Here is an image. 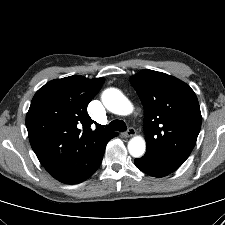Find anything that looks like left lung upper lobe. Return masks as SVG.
Listing matches in <instances>:
<instances>
[{"mask_svg":"<svg viewBox=\"0 0 225 225\" xmlns=\"http://www.w3.org/2000/svg\"><path fill=\"white\" fill-rule=\"evenodd\" d=\"M130 82L144 107L147 150L183 164L201 128L194 91L173 76L148 69L132 76Z\"/></svg>","mask_w":225,"mask_h":225,"instance_id":"left-lung-upper-lobe-1","label":"left lung upper lobe"}]
</instances>
